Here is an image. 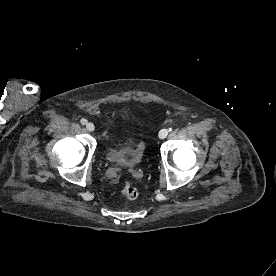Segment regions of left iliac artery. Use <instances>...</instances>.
I'll list each match as a JSON object with an SVG mask.
<instances>
[{
  "instance_id": "44dca946",
  "label": "left iliac artery",
  "mask_w": 276,
  "mask_h": 276,
  "mask_svg": "<svg viewBox=\"0 0 276 276\" xmlns=\"http://www.w3.org/2000/svg\"><path fill=\"white\" fill-rule=\"evenodd\" d=\"M169 131H172V128H169Z\"/></svg>"
}]
</instances>
